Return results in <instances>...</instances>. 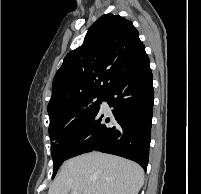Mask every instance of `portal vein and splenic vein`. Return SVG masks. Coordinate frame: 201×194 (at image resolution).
I'll list each match as a JSON object with an SVG mask.
<instances>
[{"label": "portal vein and splenic vein", "mask_w": 201, "mask_h": 194, "mask_svg": "<svg viewBox=\"0 0 201 194\" xmlns=\"http://www.w3.org/2000/svg\"><path fill=\"white\" fill-rule=\"evenodd\" d=\"M71 194H80L79 192H77V191H72V193Z\"/></svg>", "instance_id": "1"}]
</instances>
